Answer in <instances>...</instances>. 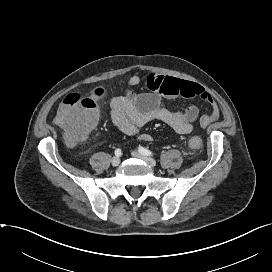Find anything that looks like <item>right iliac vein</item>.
<instances>
[{"mask_svg": "<svg viewBox=\"0 0 272 272\" xmlns=\"http://www.w3.org/2000/svg\"><path fill=\"white\" fill-rule=\"evenodd\" d=\"M111 164H112V166H118L119 164H120V158L119 157H113L112 159H111Z\"/></svg>", "mask_w": 272, "mask_h": 272, "instance_id": "1", "label": "right iliac vein"}]
</instances>
